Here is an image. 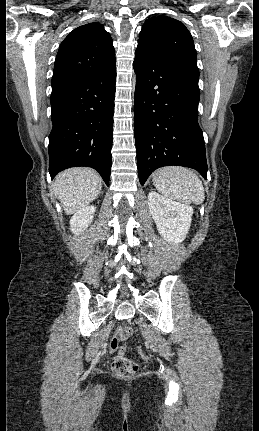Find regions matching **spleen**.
Segmentation results:
<instances>
[{"instance_id": "3e777b00", "label": "spleen", "mask_w": 259, "mask_h": 431, "mask_svg": "<svg viewBox=\"0 0 259 431\" xmlns=\"http://www.w3.org/2000/svg\"><path fill=\"white\" fill-rule=\"evenodd\" d=\"M156 189L164 196L181 203L201 204L205 199L204 187L199 177L190 169L168 166L152 175Z\"/></svg>"}]
</instances>
